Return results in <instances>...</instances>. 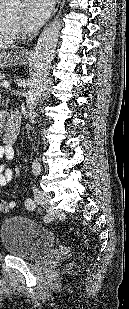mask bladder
Returning <instances> with one entry per match:
<instances>
[{"label": "bladder", "instance_id": "obj_1", "mask_svg": "<svg viewBox=\"0 0 129 309\" xmlns=\"http://www.w3.org/2000/svg\"><path fill=\"white\" fill-rule=\"evenodd\" d=\"M0 240L7 253L21 258H35L56 245L52 232L24 216L4 220Z\"/></svg>", "mask_w": 129, "mask_h": 309}]
</instances>
